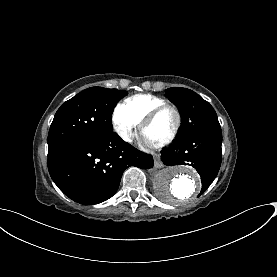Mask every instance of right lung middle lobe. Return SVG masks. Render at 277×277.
<instances>
[{
  "label": "right lung middle lobe",
  "mask_w": 277,
  "mask_h": 277,
  "mask_svg": "<svg viewBox=\"0 0 277 277\" xmlns=\"http://www.w3.org/2000/svg\"><path fill=\"white\" fill-rule=\"evenodd\" d=\"M124 90L88 88L66 101L50 126L48 147L78 139L113 135L111 117Z\"/></svg>",
  "instance_id": "1"
}]
</instances>
